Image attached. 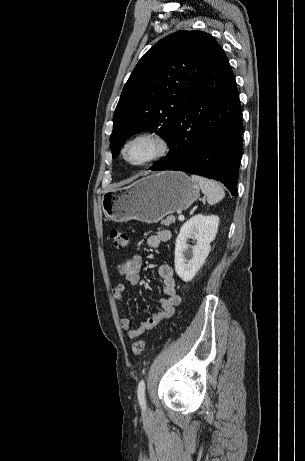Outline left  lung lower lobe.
Wrapping results in <instances>:
<instances>
[{
	"instance_id": "0a47b994",
	"label": "left lung lower lobe",
	"mask_w": 305,
	"mask_h": 461,
	"mask_svg": "<svg viewBox=\"0 0 305 461\" xmlns=\"http://www.w3.org/2000/svg\"><path fill=\"white\" fill-rule=\"evenodd\" d=\"M242 134L239 94L222 51L176 119L168 140L169 153L149 169L198 174L222 182L237 196Z\"/></svg>"
}]
</instances>
